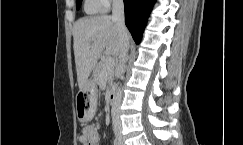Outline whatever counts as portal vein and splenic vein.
I'll list each match as a JSON object with an SVG mask.
<instances>
[{"mask_svg": "<svg viewBox=\"0 0 243 145\" xmlns=\"http://www.w3.org/2000/svg\"><path fill=\"white\" fill-rule=\"evenodd\" d=\"M105 64H106V67L109 69L111 66L114 65V59L113 57L111 56H107L106 59H105Z\"/></svg>", "mask_w": 243, "mask_h": 145, "instance_id": "1", "label": "portal vein and splenic vein"}]
</instances>
